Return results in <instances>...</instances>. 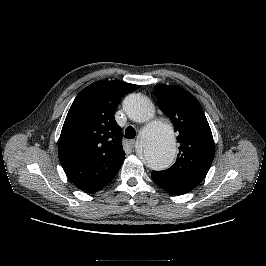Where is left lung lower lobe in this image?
<instances>
[{
	"instance_id": "left-lung-lower-lobe-1",
	"label": "left lung lower lobe",
	"mask_w": 266,
	"mask_h": 266,
	"mask_svg": "<svg viewBox=\"0 0 266 266\" xmlns=\"http://www.w3.org/2000/svg\"><path fill=\"white\" fill-rule=\"evenodd\" d=\"M153 181L161 187L166 192L173 194V195H182L185 193L190 192L192 189H189L187 187L181 186L179 184H176L161 175L157 174L155 171H152L151 173Z\"/></svg>"
}]
</instances>
